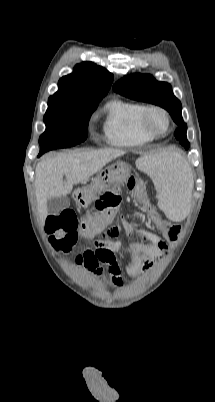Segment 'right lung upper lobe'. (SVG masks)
Listing matches in <instances>:
<instances>
[{"label":"right lung upper lobe","mask_w":215,"mask_h":402,"mask_svg":"<svg viewBox=\"0 0 215 402\" xmlns=\"http://www.w3.org/2000/svg\"><path fill=\"white\" fill-rule=\"evenodd\" d=\"M113 75L92 62L77 64L74 72L62 77L58 91L49 99H96L109 91Z\"/></svg>","instance_id":"1"}]
</instances>
